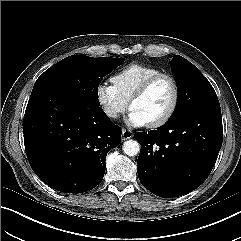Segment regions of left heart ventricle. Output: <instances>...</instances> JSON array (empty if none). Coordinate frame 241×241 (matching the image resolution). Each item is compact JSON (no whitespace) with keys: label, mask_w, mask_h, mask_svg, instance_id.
Wrapping results in <instances>:
<instances>
[{"label":"left heart ventricle","mask_w":241,"mask_h":241,"mask_svg":"<svg viewBox=\"0 0 241 241\" xmlns=\"http://www.w3.org/2000/svg\"><path fill=\"white\" fill-rule=\"evenodd\" d=\"M173 87L169 80L160 79L141 98L133 102L131 110L137 112L146 123L162 117L171 105Z\"/></svg>","instance_id":"obj_1"}]
</instances>
